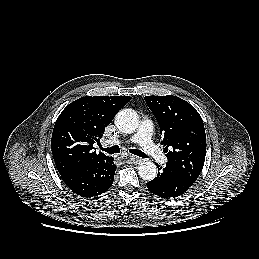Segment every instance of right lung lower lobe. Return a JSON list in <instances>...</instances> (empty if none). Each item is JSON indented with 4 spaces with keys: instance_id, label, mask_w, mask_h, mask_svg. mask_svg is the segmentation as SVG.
I'll return each mask as SVG.
<instances>
[{
    "instance_id": "obj_1",
    "label": "right lung lower lobe",
    "mask_w": 259,
    "mask_h": 259,
    "mask_svg": "<svg viewBox=\"0 0 259 259\" xmlns=\"http://www.w3.org/2000/svg\"><path fill=\"white\" fill-rule=\"evenodd\" d=\"M116 165L113 158L81 165L61 174L64 183L77 195L95 197L106 192L112 185Z\"/></svg>"
}]
</instances>
